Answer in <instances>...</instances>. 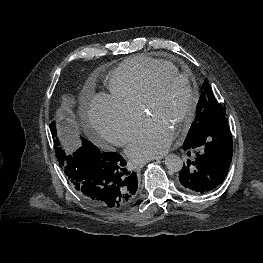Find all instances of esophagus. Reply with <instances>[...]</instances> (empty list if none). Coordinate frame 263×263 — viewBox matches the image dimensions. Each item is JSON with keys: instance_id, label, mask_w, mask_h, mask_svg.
Masks as SVG:
<instances>
[{"instance_id": "obj_1", "label": "esophagus", "mask_w": 263, "mask_h": 263, "mask_svg": "<svg viewBox=\"0 0 263 263\" xmlns=\"http://www.w3.org/2000/svg\"><path fill=\"white\" fill-rule=\"evenodd\" d=\"M158 159H160V158H157V160ZM144 164H145V162H141V163L137 164L136 166L141 168Z\"/></svg>"}]
</instances>
